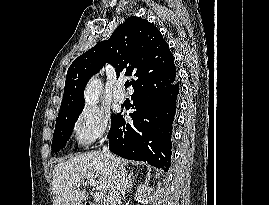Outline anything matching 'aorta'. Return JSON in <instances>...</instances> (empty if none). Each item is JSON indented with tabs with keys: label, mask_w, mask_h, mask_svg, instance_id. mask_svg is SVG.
Here are the masks:
<instances>
[{
	"label": "aorta",
	"mask_w": 269,
	"mask_h": 205,
	"mask_svg": "<svg viewBox=\"0 0 269 205\" xmlns=\"http://www.w3.org/2000/svg\"><path fill=\"white\" fill-rule=\"evenodd\" d=\"M102 85L98 79H92L85 91L86 105L90 108H94L97 103L98 96Z\"/></svg>",
	"instance_id": "1"
}]
</instances>
